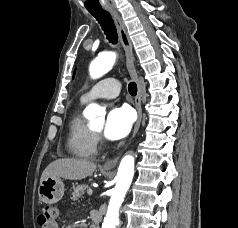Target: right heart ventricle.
<instances>
[{
    "label": "right heart ventricle",
    "mask_w": 238,
    "mask_h": 228,
    "mask_svg": "<svg viewBox=\"0 0 238 228\" xmlns=\"http://www.w3.org/2000/svg\"><path fill=\"white\" fill-rule=\"evenodd\" d=\"M84 103L80 100L78 107L70 116L67 148L75 157L91 158L97 154V139L80 113V108Z\"/></svg>",
    "instance_id": "right-heart-ventricle-1"
}]
</instances>
